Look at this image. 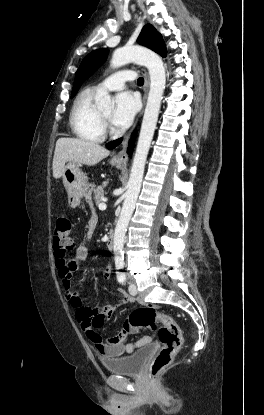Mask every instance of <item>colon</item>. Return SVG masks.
Here are the masks:
<instances>
[{
  "label": "colon",
  "instance_id": "1",
  "mask_svg": "<svg viewBox=\"0 0 264 415\" xmlns=\"http://www.w3.org/2000/svg\"><path fill=\"white\" fill-rule=\"evenodd\" d=\"M71 220L67 215L60 216L56 221L54 232V243L56 250L62 253H68L73 247ZM92 325L99 329L104 321L102 312L94 313L92 316ZM161 324L159 329V339L162 348L152 360L149 366V376L155 380L160 372L167 367L173 356L182 346V334L178 323L170 315L159 311L156 307L145 305L133 311L126 319L125 325L136 328H155L156 324ZM123 336L126 337V330L123 328ZM98 334L92 336L93 340H98Z\"/></svg>",
  "mask_w": 264,
  "mask_h": 415
}]
</instances>
